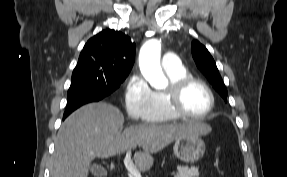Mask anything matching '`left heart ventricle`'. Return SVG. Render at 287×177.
Instances as JSON below:
<instances>
[{
    "label": "left heart ventricle",
    "instance_id": "obj_1",
    "mask_svg": "<svg viewBox=\"0 0 287 177\" xmlns=\"http://www.w3.org/2000/svg\"><path fill=\"white\" fill-rule=\"evenodd\" d=\"M182 106L191 114L202 115L209 109L210 97L202 86L192 84L183 94Z\"/></svg>",
    "mask_w": 287,
    "mask_h": 177
}]
</instances>
